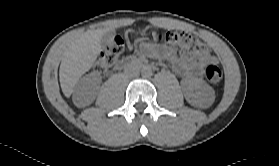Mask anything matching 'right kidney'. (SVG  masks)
<instances>
[{
  "mask_svg": "<svg viewBox=\"0 0 279 166\" xmlns=\"http://www.w3.org/2000/svg\"><path fill=\"white\" fill-rule=\"evenodd\" d=\"M100 85V79L95 75L84 77L77 83L74 90V99L80 106H85L94 99L96 90Z\"/></svg>",
  "mask_w": 279,
  "mask_h": 166,
  "instance_id": "obj_1",
  "label": "right kidney"
}]
</instances>
